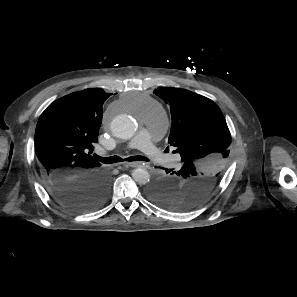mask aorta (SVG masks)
<instances>
[{"mask_svg":"<svg viewBox=\"0 0 297 297\" xmlns=\"http://www.w3.org/2000/svg\"><path fill=\"white\" fill-rule=\"evenodd\" d=\"M112 133L121 139H130L135 135L136 125L128 115L116 116L111 122ZM132 177L140 185H145L150 180V174L143 168L133 170Z\"/></svg>","mask_w":297,"mask_h":297,"instance_id":"1","label":"aorta"}]
</instances>
